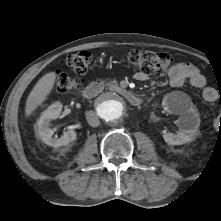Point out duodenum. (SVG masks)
Segmentation results:
<instances>
[{
	"instance_id": "1",
	"label": "duodenum",
	"mask_w": 221,
	"mask_h": 221,
	"mask_svg": "<svg viewBox=\"0 0 221 221\" xmlns=\"http://www.w3.org/2000/svg\"><path fill=\"white\" fill-rule=\"evenodd\" d=\"M104 86H105V83L102 80L92 81L83 90L84 98L88 100L93 99L103 90ZM111 89L114 94L124 97L134 106H137L141 103V99L128 89H123L114 85L111 86Z\"/></svg>"
}]
</instances>
